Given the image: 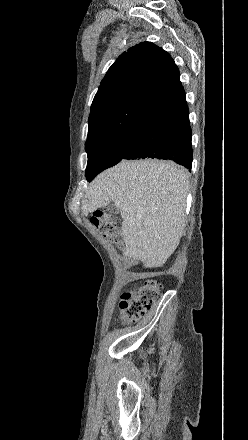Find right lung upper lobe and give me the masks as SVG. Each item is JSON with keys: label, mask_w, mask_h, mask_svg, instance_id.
<instances>
[{"label": "right lung upper lobe", "mask_w": 248, "mask_h": 440, "mask_svg": "<svg viewBox=\"0 0 248 440\" xmlns=\"http://www.w3.org/2000/svg\"><path fill=\"white\" fill-rule=\"evenodd\" d=\"M179 76L171 56L151 42L123 52L94 97L85 146L129 130L148 114L185 96Z\"/></svg>", "instance_id": "obj_1"}]
</instances>
